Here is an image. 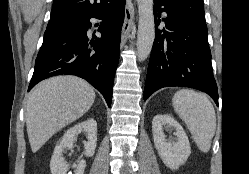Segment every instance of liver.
<instances>
[{"instance_id":"6515ba94","label":"liver","mask_w":249,"mask_h":174,"mask_svg":"<svg viewBox=\"0 0 249 174\" xmlns=\"http://www.w3.org/2000/svg\"><path fill=\"white\" fill-rule=\"evenodd\" d=\"M94 100L93 87L76 76H57L40 83L30 94L26 108L32 152H37L55 133L82 117Z\"/></svg>"}]
</instances>
